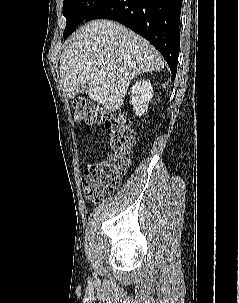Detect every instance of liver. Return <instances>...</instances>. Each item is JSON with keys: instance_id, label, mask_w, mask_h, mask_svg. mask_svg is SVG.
Here are the masks:
<instances>
[{"instance_id": "obj_1", "label": "liver", "mask_w": 239, "mask_h": 303, "mask_svg": "<svg viewBox=\"0 0 239 303\" xmlns=\"http://www.w3.org/2000/svg\"><path fill=\"white\" fill-rule=\"evenodd\" d=\"M163 67L160 53L141 36L119 23L95 20L67 41L60 58V78L69 99L86 84L89 98L114 112L123 105L136 75Z\"/></svg>"}]
</instances>
